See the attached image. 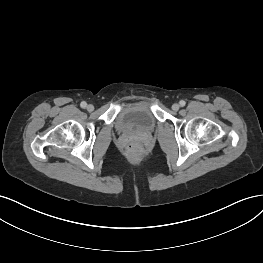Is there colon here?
Instances as JSON below:
<instances>
[{
	"mask_svg": "<svg viewBox=\"0 0 263 263\" xmlns=\"http://www.w3.org/2000/svg\"><path fill=\"white\" fill-rule=\"evenodd\" d=\"M125 152L129 159L137 161L142 157L143 148L138 142H128L125 146Z\"/></svg>",
	"mask_w": 263,
	"mask_h": 263,
	"instance_id": "1",
	"label": "colon"
}]
</instances>
